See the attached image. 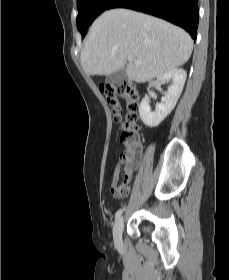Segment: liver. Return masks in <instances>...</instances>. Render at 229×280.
Returning <instances> with one entry per match:
<instances>
[{"mask_svg": "<svg viewBox=\"0 0 229 280\" xmlns=\"http://www.w3.org/2000/svg\"><path fill=\"white\" fill-rule=\"evenodd\" d=\"M193 49L190 35L164 20L128 9L102 13L92 24L81 52L87 75H110L126 65V75L138 83L182 66ZM135 61L126 64V58Z\"/></svg>", "mask_w": 229, "mask_h": 280, "instance_id": "1", "label": "liver"}]
</instances>
